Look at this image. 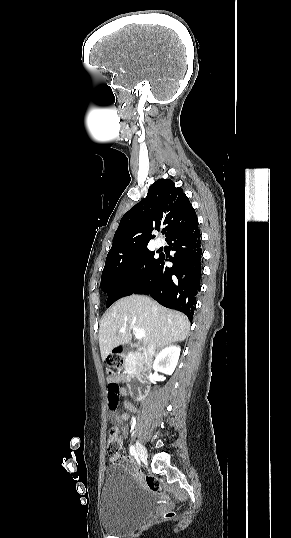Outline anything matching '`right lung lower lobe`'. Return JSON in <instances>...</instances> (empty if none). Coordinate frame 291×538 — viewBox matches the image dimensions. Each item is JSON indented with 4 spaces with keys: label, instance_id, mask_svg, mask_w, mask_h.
I'll return each mask as SVG.
<instances>
[{
    "label": "right lung lower lobe",
    "instance_id": "right-lung-lower-lobe-1",
    "mask_svg": "<svg viewBox=\"0 0 291 538\" xmlns=\"http://www.w3.org/2000/svg\"><path fill=\"white\" fill-rule=\"evenodd\" d=\"M200 237L198 221L169 237L166 241L175 254L168 261L173 266L166 267L167 258L160 256L144 283L133 294H149L161 305L181 311L191 319L201 287Z\"/></svg>",
    "mask_w": 291,
    "mask_h": 538
}]
</instances>
